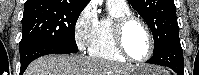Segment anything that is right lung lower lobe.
Instances as JSON below:
<instances>
[{
	"instance_id": "1",
	"label": "right lung lower lobe",
	"mask_w": 199,
	"mask_h": 75,
	"mask_svg": "<svg viewBox=\"0 0 199 75\" xmlns=\"http://www.w3.org/2000/svg\"><path fill=\"white\" fill-rule=\"evenodd\" d=\"M20 50L21 69L20 74L26 70L27 66L36 58L48 54H69L76 51L64 49L56 45L48 44L43 41H35ZM78 52V51H77Z\"/></svg>"
}]
</instances>
